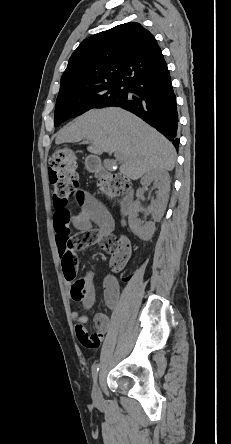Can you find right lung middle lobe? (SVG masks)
I'll use <instances>...</instances> for the list:
<instances>
[{"mask_svg": "<svg viewBox=\"0 0 231 444\" xmlns=\"http://www.w3.org/2000/svg\"><path fill=\"white\" fill-rule=\"evenodd\" d=\"M129 85L111 83L58 94L54 126L93 108L112 106L128 96Z\"/></svg>", "mask_w": 231, "mask_h": 444, "instance_id": "right-lung-middle-lobe-1", "label": "right lung middle lobe"}]
</instances>
